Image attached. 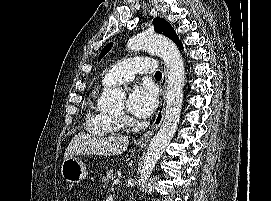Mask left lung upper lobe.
Instances as JSON below:
<instances>
[{"mask_svg": "<svg viewBox=\"0 0 271 201\" xmlns=\"http://www.w3.org/2000/svg\"><path fill=\"white\" fill-rule=\"evenodd\" d=\"M154 29L155 32L163 34L170 38L172 41H174L179 47H182V43L179 40L178 36L176 35V32L174 31L173 27L168 23L166 20L157 17L154 19ZM113 43L107 44L101 51L99 60L103 58V56L110 50Z\"/></svg>", "mask_w": 271, "mask_h": 201, "instance_id": "left-lung-upper-lobe-1", "label": "left lung upper lobe"}]
</instances>
